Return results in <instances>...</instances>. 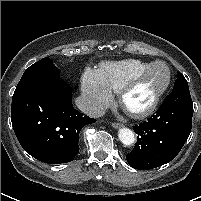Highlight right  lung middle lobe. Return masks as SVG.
Wrapping results in <instances>:
<instances>
[{
	"instance_id": "dd1d6c3e",
	"label": "right lung middle lobe",
	"mask_w": 201,
	"mask_h": 201,
	"mask_svg": "<svg viewBox=\"0 0 201 201\" xmlns=\"http://www.w3.org/2000/svg\"><path fill=\"white\" fill-rule=\"evenodd\" d=\"M39 66H41V67H52V68L56 67L48 57L39 60L38 62L34 63L30 67H39Z\"/></svg>"
}]
</instances>
